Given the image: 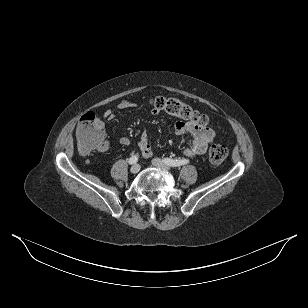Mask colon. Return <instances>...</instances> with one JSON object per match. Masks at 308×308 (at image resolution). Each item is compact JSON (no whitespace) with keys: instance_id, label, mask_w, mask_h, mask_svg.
<instances>
[{"instance_id":"5ec220e1","label":"colon","mask_w":308,"mask_h":308,"mask_svg":"<svg viewBox=\"0 0 308 308\" xmlns=\"http://www.w3.org/2000/svg\"><path fill=\"white\" fill-rule=\"evenodd\" d=\"M151 105L156 112H165L185 122H191L207 127L208 118L193 109L188 104L173 97L157 96L152 99ZM76 137L79 150L88 154L98 149L104 138V129L99 118L93 112L85 113L76 129ZM227 148L220 144H212L209 149V162L213 166L220 165L227 156Z\"/></svg>"}]
</instances>
